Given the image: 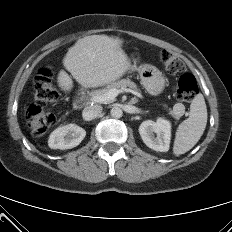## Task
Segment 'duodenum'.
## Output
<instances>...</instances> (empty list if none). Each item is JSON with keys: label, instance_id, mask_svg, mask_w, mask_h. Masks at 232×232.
I'll list each match as a JSON object with an SVG mask.
<instances>
[{"label": "duodenum", "instance_id": "410a0bca", "mask_svg": "<svg viewBox=\"0 0 232 232\" xmlns=\"http://www.w3.org/2000/svg\"><path fill=\"white\" fill-rule=\"evenodd\" d=\"M81 98H82V93L80 92L77 97L78 102L81 100Z\"/></svg>", "mask_w": 232, "mask_h": 232}]
</instances>
